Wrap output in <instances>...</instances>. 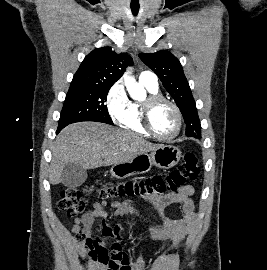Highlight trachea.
Listing matches in <instances>:
<instances>
[{
    "label": "trachea",
    "mask_w": 267,
    "mask_h": 270,
    "mask_svg": "<svg viewBox=\"0 0 267 270\" xmlns=\"http://www.w3.org/2000/svg\"><path fill=\"white\" fill-rule=\"evenodd\" d=\"M131 10H132V14H133L134 16H136V15L138 14V11H139V6H138V7H132V6H131Z\"/></svg>",
    "instance_id": "trachea-1"
}]
</instances>
